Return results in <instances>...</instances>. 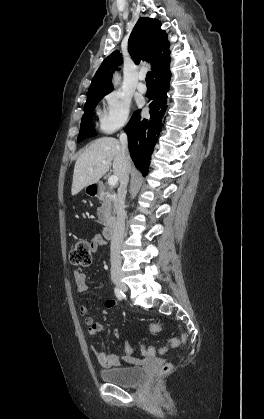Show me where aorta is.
<instances>
[{
    "instance_id": "obj_1",
    "label": "aorta",
    "mask_w": 264,
    "mask_h": 419,
    "mask_svg": "<svg viewBox=\"0 0 264 419\" xmlns=\"http://www.w3.org/2000/svg\"><path fill=\"white\" fill-rule=\"evenodd\" d=\"M120 83V75L118 73H115L113 76V84L114 86H118Z\"/></svg>"
}]
</instances>
